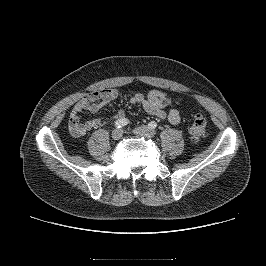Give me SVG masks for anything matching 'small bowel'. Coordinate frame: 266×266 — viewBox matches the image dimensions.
<instances>
[{"instance_id": "1", "label": "small bowel", "mask_w": 266, "mask_h": 266, "mask_svg": "<svg viewBox=\"0 0 266 266\" xmlns=\"http://www.w3.org/2000/svg\"><path fill=\"white\" fill-rule=\"evenodd\" d=\"M118 91L113 88L93 91L81 98L72 108L69 115V131L75 137H83L88 131L101 125V118H93L82 121L81 114L85 111L96 113L102 107L110 104L118 98ZM167 94L160 90H152L146 96L140 93L129 97L131 104H140L146 114L156 116L160 120L167 119L172 124H178L181 121L180 112L177 108L167 111L165 100ZM124 111L120 110L116 114L117 118H123Z\"/></svg>"}]
</instances>
